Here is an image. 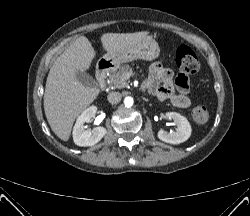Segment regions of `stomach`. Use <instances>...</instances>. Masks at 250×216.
<instances>
[{
    "label": "stomach",
    "instance_id": "0dacf381",
    "mask_svg": "<svg viewBox=\"0 0 250 216\" xmlns=\"http://www.w3.org/2000/svg\"><path fill=\"white\" fill-rule=\"evenodd\" d=\"M159 56L160 48L158 43L151 36H147L141 41L123 49L107 52L103 59L107 61L110 66L117 68L122 63L131 62L137 59L151 61L159 58Z\"/></svg>",
    "mask_w": 250,
    "mask_h": 216
}]
</instances>
